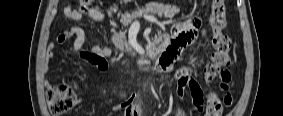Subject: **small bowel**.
<instances>
[{
	"mask_svg": "<svg viewBox=\"0 0 283 116\" xmlns=\"http://www.w3.org/2000/svg\"><path fill=\"white\" fill-rule=\"evenodd\" d=\"M64 15L67 19L71 21H80L85 16L97 21L102 22L105 20V15L98 9H90L86 14L79 12L71 6L64 9ZM202 26V19L199 16L191 17L183 24L175 26L171 30V37L169 39V45L167 49L162 53L161 58L158 62V68L162 71H170L172 62H168V59H172L176 54L188 44H190L198 35ZM201 34H204V30H201ZM73 38V44L71 47V52H80L81 58L84 61L94 64L97 69L101 72L107 70V62L105 57H110L111 51L106 47L92 46L86 48V36L85 31L82 27L77 25L70 26L64 33L60 34L58 38L51 42L48 46V52L52 55V52L62 45L67 39ZM167 40V36L164 38ZM193 69L184 68L175 73V78L177 80L178 89L176 91V98L178 103L182 102L184 91L186 88L190 90L193 106L197 113H204L205 116H209L206 107L204 105V93L199 86L196 78L193 76ZM71 86L75 91H78L79 85L71 74ZM220 89L225 92L223 98H230L229 93V83H224L220 80ZM136 97L131 95L129 98L123 100L119 108L123 111L124 116H142L146 112L139 105L135 104Z\"/></svg>",
	"mask_w": 283,
	"mask_h": 116,
	"instance_id": "c3829d8e",
	"label": "small bowel"
}]
</instances>
